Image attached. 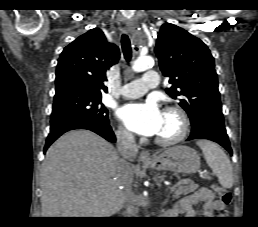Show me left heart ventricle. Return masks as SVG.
<instances>
[{
	"mask_svg": "<svg viewBox=\"0 0 258 227\" xmlns=\"http://www.w3.org/2000/svg\"><path fill=\"white\" fill-rule=\"evenodd\" d=\"M179 127V121L176 116L163 113L161 127L157 136L164 138L173 137L178 133Z\"/></svg>",
	"mask_w": 258,
	"mask_h": 227,
	"instance_id": "obj_1",
	"label": "left heart ventricle"
}]
</instances>
